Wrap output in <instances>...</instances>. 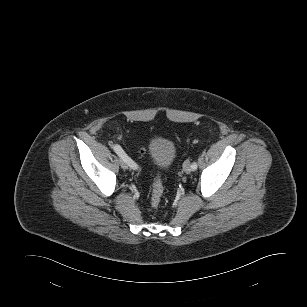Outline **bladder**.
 <instances>
[{"mask_svg": "<svg viewBox=\"0 0 307 307\" xmlns=\"http://www.w3.org/2000/svg\"><path fill=\"white\" fill-rule=\"evenodd\" d=\"M148 155L156 167L165 170L173 163L176 156V148L171 140L155 137L148 144Z\"/></svg>", "mask_w": 307, "mask_h": 307, "instance_id": "bladder-1", "label": "bladder"}]
</instances>
